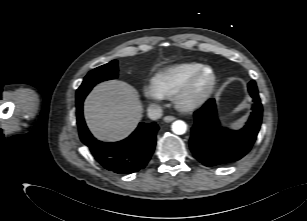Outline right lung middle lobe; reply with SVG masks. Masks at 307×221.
Masks as SVG:
<instances>
[{
  "mask_svg": "<svg viewBox=\"0 0 307 221\" xmlns=\"http://www.w3.org/2000/svg\"><path fill=\"white\" fill-rule=\"evenodd\" d=\"M118 62L113 60L108 64L102 65L92 71H90L84 78L83 83L77 90L76 102L79 103L83 101L86 95L91 91V89L98 83L115 79L118 75Z\"/></svg>",
  "mask_w": 307,
  "mask_h": 221,
  "instance_id": "obj_1",
  "label": "right lung middle lobe"
}]
</instances>
